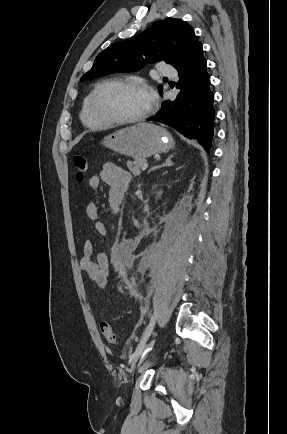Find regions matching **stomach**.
Here are the masks:
<instances>
[{"mask_svg": "<svg viewBox=\"0 0 287 434\" xmlns=\"http://www.w3.org/2000/svg\"><path fill=\"white\" fill-rule=\"evenodd\" d=\"M101 144L122 155L144 159L169 151L174 147L175 142L162 127L143 122L108 135Z\"/></svg>", "mask_w": 287, "mask_h": 434, "instance_id": "obj_1", "label": "stomach"}]
</instances>
